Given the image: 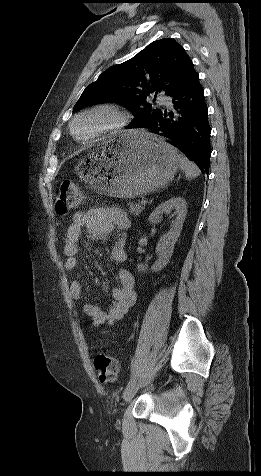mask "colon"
<instances>
[{"mask_svg": "<svg viewBox=\"0 0 261 476\" xmlns=\"http://www.w3.org/2000/svg\"><path fill=\"white\" fill-rule=\"evenodd\" d=\"M82 193L72 180L63 181L58 190L55 208L60 214H66L81 204ZM94 367L99 380L103 383L114 382L118 376V363L115 357L105 348L94 357Z\"/></svg>", "mask_w": 261, "mask_h": 476, "instance_id": "obj_1", "label": "colon"}]
</instances>
